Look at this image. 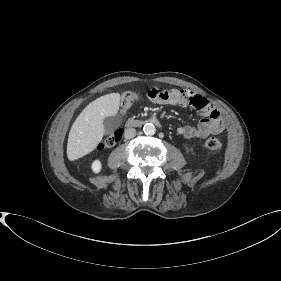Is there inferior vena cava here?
I'll return each instance as SVG.
<instances>
[{"label":"inferior vena cava","instance_id":"1","mask_svg":"<svg viewBox=\"0 0 281 281\" xmlns=\"http://www.w3.org/2000/svg\"><path fill=\"white\" fill-rule=\"evenodd\" d=\"M135 135H136V130L134 128H128L124 132V137L126 139H131V138L135 137Z\"/></svg>","mask_w":281,"mask_h":281}]
</instances>
